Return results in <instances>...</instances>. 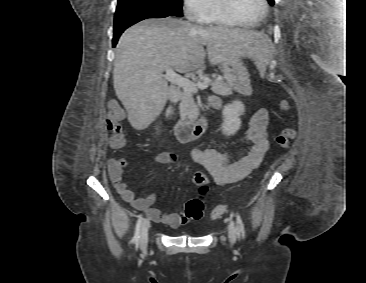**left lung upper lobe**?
<instances>
[{"instance_id":"1","label":"left lung upper lobe","mask_w":366,"mask_h":283,"mask_svg":"<svg viewBox=\"0 0 366 283\" xmlns=\"http://www.w3.org/2000/svg\"><path fill=\"white\" fill-rule=\"evenodd\" d=\"M270 5H274V0H267Z\"/></svg>"}]
</instances>
